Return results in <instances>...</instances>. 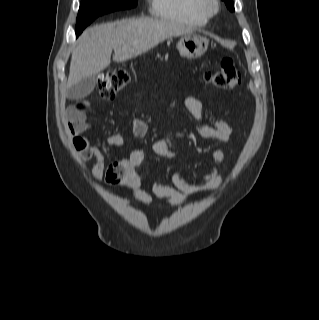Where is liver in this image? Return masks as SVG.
<instances>
[{
    "label": "liver",
    "mask_w": 319,
    "mask_h": 320,
    "mask_svg": "<svg viewBox=\"0 0 319 320\" xmlns=\"http://www.w3.org/2000/svg\"><path fill=\"white\" fill-rule=\"evenodd\" d=\"M192 28L152 18L124 19L86 29L72 52L67 90L81 79L95 76L111 62H123L151 50L169 37L190 34Z\"/></svg>",
    "instance_id": "obj_1"
}]
</instances>
